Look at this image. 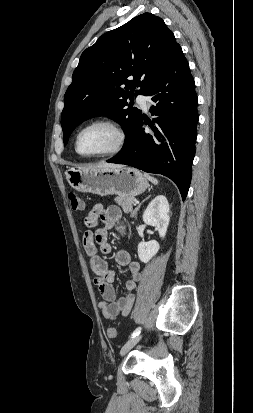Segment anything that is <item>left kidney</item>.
Listing matches in <instances>:
<instances>
[{"label": "left kidney", "instance_id": "1", "mask_svg": "<svg viewBox=\"0 0 253 413\" xmlns=\"http://www.w3.org/2000/svg\"><path fill=\"white\" fill-rule=\"evenodd\" d=\"M143 221L155 227L159 236L164 238L169 225V203L164 195L156 196L147 206L143 213ZM160 246L155 240L140 242L138 244V256L141 262L147 263L157 254Z\"/></svg>", "mask_w": 253, "mask_h": 413}]
</instances>
